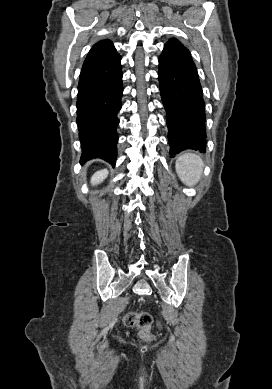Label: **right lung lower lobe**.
Masks as SVG:
<instances>
[{"label": "right lung lower lobe", "mask_w": 272, "mask_h": 389, "mask_svg": "<svg viewBox=\"0 0 272 389\" xmlns=\"http://www.w3.org/2000/svg\"><path fill=\"white\" fill-rule=\"evenodd\" d=\"M119 54L83 68L77 94V124L81 140V162L101 158L115 164L121 109L122 70Z\"/></svg>", "instance_id": "1"}]
</instances>
